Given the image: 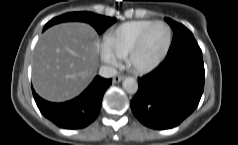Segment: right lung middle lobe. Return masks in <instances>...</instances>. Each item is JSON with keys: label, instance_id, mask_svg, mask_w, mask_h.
I'll return each instance as SVG.
<instances>
[{"label": "right lung middle lobe", "instance_id": "right-lung-middle-lobe-1", "mask_svg": "<svg viewBox=\"0 0 238 145\" xmlns=\"http://www.w3.org/2000/svg\"><path fill=\"white\" fill-rule=\"evenodd\" d=\"M67 21H81L92 25L98 34L103 33L110 25L116 22V18H110L97 15L91 12H72L66 13L49 21L43 28V31L50 26Z\"/></svg>", "mask_w": 238, "mask_h": 145}]
</instances>
